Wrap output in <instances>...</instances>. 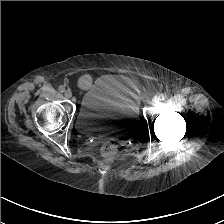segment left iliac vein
<instances>
[{
	"mask_svg": "<svg viewBox=\"0 0 224 224\" xmlns=\"http://www.w3.org/2000/svg\"><path fill=\"white\" fill-rule=\"evenodd\" d=\"M158 103H159V98H158V97H154V98L152 99L151 104L154 105V106H156V105H158Z\"/></svg>",
	"mask_w": 224,
	"mask_h": 224,
	"instance_id": "left-iliac-vein-1",
	"label": "left iliac vein"
}]
</instances>
